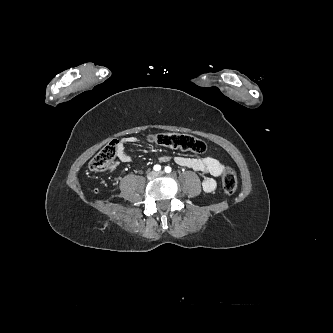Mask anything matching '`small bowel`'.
Returning a JSON list of instances; mask_svg holds the SVG:
<instances>
[{
    "instance_id": "c3829d8e",
    "label": "small bowel",
    "mask_w": 333,
    "mask_h": 333,
    "mask_svg": "<svg viewBox=\"0 0 333 333\" xmlns=\"http://www.w3.org/2000/svg\"><path fill=\"white\" fill-rule=\"evenodd\" d=\"M136 142L135 137H125L118 143V158L122 163L129 164L132 162L131 156L127 153L126 147ZM173 159V161L182 167L192 169L208 175L202 181L203 190L206 193H212L217 188V182L214 177L222 175L224 166L216 158L207 156L203 158L175 156L171 158L167 155H162L160 161L165 162Z\"/></svg>"
}]
</instances>
